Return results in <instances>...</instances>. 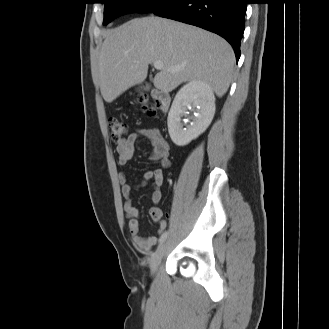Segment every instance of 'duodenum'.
<instances>
[{"instance_id": "1", "label": "duodenum", "mask_w": 329, "mask_h": 329, "mask_svg": "<svg viewBox=\"0 0 329 329\" xmlns=\"http://www.w3.org/2000/svg\"><path fill=\"white\" fill-rule=\"evenodd\" d=\"M153 97L157 99L160 102L161 109L163 111H166L170 104V97L168 94L162 92V91H153L152 92Z\"/></svg>"}]
</instances>
